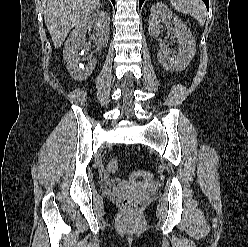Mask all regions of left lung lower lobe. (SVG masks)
Wrapping results in <instances>:
<instances>
[{"mask_svg": "<svg viewBox=\"0 0 248 247\" xmlns=\"http://www.w3.org/2000/svg\"><path fill=\"white\" fill-rule=\"evenodd\" d=\"M207 9H209V0H203ZM144 0H139V8H141L142 4H143Z\"/></svg>", "mask_w": 248, "mask_h": 247, "instance_id": "left-lung-lower-lobe-1", "label": "left lung lower lobe"}]
</instances>
